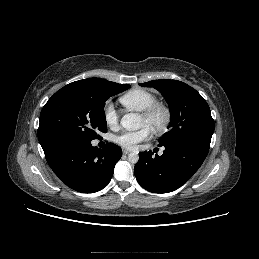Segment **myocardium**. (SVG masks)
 <instances>
[{"label":"myocardium","instance_id":"obj_1","mask_svg":"<svg viewBox=\"0 0 259 259\" xmlns=\"http://www.w3.org/2000/svg\"><path fill=\"white\" fill-rule=\"evenodd\" d=\"M158 113L161 114V121L153 126L151 129L154 133L161 134L168 128L171 121V111L165 103L161 101H154L141 111V116L146 121H150Z\"/></svg>","mask_w":259,"mask_h":259}]
</instances>
